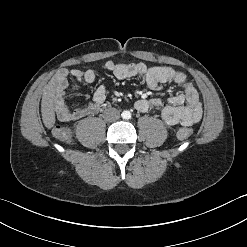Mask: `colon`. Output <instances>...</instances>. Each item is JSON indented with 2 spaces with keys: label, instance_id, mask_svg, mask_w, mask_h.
I'll return each instance as SVG.
<instances>
[{
  "label": "colon",
  "instance_id": "colon-1",
  "mask_svg": "<svg viewBox=\"0 0 247 247\" xmlns=\"http://www.w3.org/2000/svg\"><path fill=\"white\" fill-rule=\"evenodd\" d=\"M193 130L191 128L183 127L180 128L177 133L176 137L179 140H185L188 139L190 136H192ZM53 135L59 139L60 141L69 143L72 141V131L70 128L65 126H56L53 129Z\"/></svg>",
  "mask_w": 247,
  "mask_h": 247
}]
</instances>
